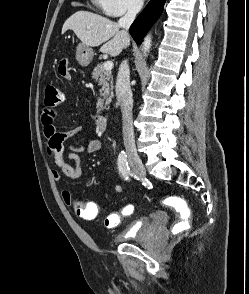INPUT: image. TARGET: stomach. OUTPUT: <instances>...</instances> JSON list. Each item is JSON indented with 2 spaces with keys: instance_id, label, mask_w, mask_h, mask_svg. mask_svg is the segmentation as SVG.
<instances>
[{
  "instance_id": "1",
  "label": "stomach",
  "mask_w": 249,
  "mask_h": 294,
  "mask_svg": "<svg viewBox=\"0 0 249 294\" xmlns=\"http://www.w3.org/2000/svg\"><path fill=\"white\" fill-rule=\"evenodd\" d=\"M93 56H94V52L91 47L86 46L84 44H79L77 46L76 60L81 66L83 67L88 66L91 63Z\"/></svg>"
}]
</instances>
